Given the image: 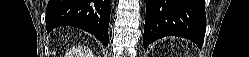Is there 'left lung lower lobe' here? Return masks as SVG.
Masks as SVG:
<instances>
[{
    "label": "left lung lower lobe",
    "mask_w": 249,
    "mask_h": 57,
    "mask_svg": "<svg viewBox=\"0 0 249 57\" xmlns=\"http://www.w3.org/2000/svg\"><path fill=\"white\" fill-rule=\"evenodd\" d=\"M205 29L204 0H146L144 47L165 36H178L201 49Z\"/></svg>",
    "instance_id": "left-lung-lower-lobe-1"
}]
</instances>
